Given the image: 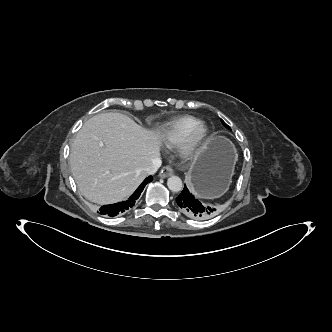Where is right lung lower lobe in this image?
<instances>
[{"label": "right lung lower lobe", "instance_id": "obj_1", "mask_svg": "<svg viewBox=\"0 0 332 332\" xmlns=\"http://www.w3.org/2000/svg\"><path fill=\"white\" fill-rule=\"evenodd\" d=\"M152 180H153L152 176L147 177L127 201H123L116 204L104 205L100 208V213L103 215L113 217L119 213H123L129 210L135 205L136 200L139 198L146 184L151 182Z\"/></svg>", "mask_w": 332, "mask_h": 332}]
</instances>
